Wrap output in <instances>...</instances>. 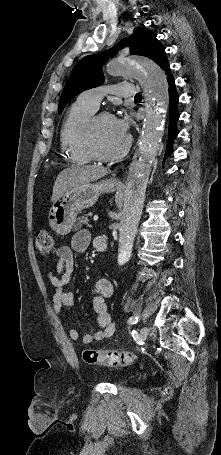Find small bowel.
Masks as SVG:
<instances>
[{
    "label": "small bowel",
    "instance_id": "small-bowel-1",
    "mask_svg": "<svg viewBox=\"0 0 221 455\" xmlns=\"http://www.w3.org/2000/svg\"><path fill=\"white\" fill-rule=\"evenodd\" d=\"M92 243L95 247V240ZM91 243V236L88 231L80 230L76 232L71 240V246H60L56 249L57 264L54 270L48 271V279L53 288V310L60 315L65 306L74 304L75 296L65 286L71 279L74 269V254L84 252ZM93 309L97 314L99 330L94 333L85 334L81 341L83 345H89L95 341H101L111 337L115 332V323L109 314L107 299L113 295V285L107 279H98L93 285ZM69 337L77 341L79 333L76 329L68 330Z\"/></svg>",
    "mask_w": 221,
    "mask_h": 455
}]
</instances>
